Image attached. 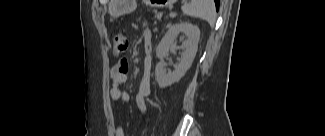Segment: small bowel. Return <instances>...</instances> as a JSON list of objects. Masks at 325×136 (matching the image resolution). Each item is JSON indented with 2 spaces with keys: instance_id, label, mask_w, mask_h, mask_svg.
<instances>
[{
  "instance_id": "c3829d8e",
  "label": "small bowel",
  "mask_w": 325,
  "mask_h": 136,
  "mask_svg": "<svg viewBox=\"0 0 325 136\" xmlns=\"http://www.w3.org/2000/svg\"><path fill=\"white\" fill-rule=\"evenodd\" d=\"M152 33L146 31L144 33V41L146 49L148 50L151 44ZM129 63L126 59L118 61L110 70V78L112 86L110 89V97L112 101L127 103L130 100V94L126 91H122L120 86L124 84L128 79ZM151 85V57L149 53L145 54L142 74L138 83V90L135 96V104L141 112L147 110V99L150 96ZM116 136H124V130L122 127L115 129Z\"/></svg>"
}]
</instances>
